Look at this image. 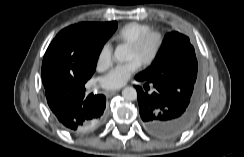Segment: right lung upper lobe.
Masks as SVG:
<instances>
[{"instance_id":"right-lung-upper-lobe-1","label":"right lung upper lobe","mask_w":244,"mask_h":157,"mask_svg":"<svg viewBox=\"0 0 244 157\" xmlns=\"http://www.w3.org/2000/svg\"><path fill=\"white\" fill-rule=\"evenodd\" d=\"M105 24V23H104ZM45 92H49L51 89H54L55 87H53V88H50L49 87V84L48 83H45ZM57 87V86H56Z\"/></svg>"}]
</instances>
